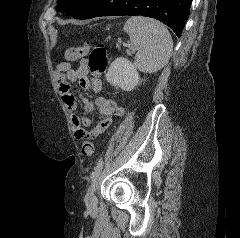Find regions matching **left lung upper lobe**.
Instances as JSON below:
<instances>
[{
	"label": "left lung upper lobe",
	"mask_w": 240,
	"mask_h": 238,
	"mask_svg": "<svg viewBox=\"0 0 240 238\" xmlns=\"http://www.w3.org/2000/svg\"><path fill=\"white\" fill-rule=\"evenodd\" d=\"M91 0H58L57 10L67 16H77L89 4Z\"/></svg>",
	"instance_id": "left-lung-upper-lobe-1"
}]
</instances>
